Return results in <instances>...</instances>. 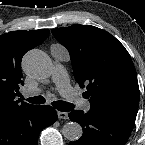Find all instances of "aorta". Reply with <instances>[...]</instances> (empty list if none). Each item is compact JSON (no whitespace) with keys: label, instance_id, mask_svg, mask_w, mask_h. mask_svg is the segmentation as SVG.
Wrapping results in <instances>:
<instances>
[{"label":"aorta","instance_id":"1","mask_svg":"<svg viewBox=\"0 0 145 145\" xmlns=\"http://www.w3.org/2000/svg\"><path fill=\"white\" fill-rule=\"evenodd\" d=\"M22 65L28 75L40 80L50 77L53 68L48 55L38 49L27 52ZM62 134L69 141H76L81 138L83 130L80 124L70 121L63 126Z\"/></svg>","mask_w":145,"mask_h":145}]
</instances>
